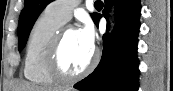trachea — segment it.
Segmentation results:
<instances>
[{"label": "trachea", "mask_w": 173, "mask_h": 91, "mask_svg": "<svg viewBox=\"0 0 173 91\" xmlns=\"http://www.w3.org/2000/svg\"><path fill=\"white\" fill-rule=\"evenodd\" d=\"M94 5H95V7H101V6H103V2L102 1H96L94 3Z\"/></svg>", "instance_id": "1"}]
</instances>
